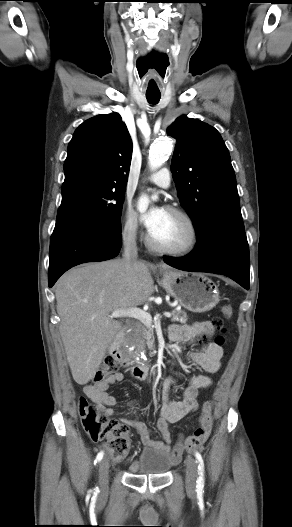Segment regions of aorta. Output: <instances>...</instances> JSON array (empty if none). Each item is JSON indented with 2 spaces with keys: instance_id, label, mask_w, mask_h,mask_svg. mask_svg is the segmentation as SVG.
Listing matches in <instances>:
<instances>
[{
  "instance_id": "1",
  "label": "aorta",
  "mask_w": 292,
  "mask_h": 527,
  "mask_svg": "<svg viewBox=\"0 0 292 527\" xmlns=\"http://www.w3.org/2000/svg\"><path fill=\"white\" fill-rule=\"evenodd\" d=\"M172 150V144L170 139L163 138L156 141L149 150V167L152 170L160 168L163 163L169 158ZM149 204V199L146 196H142L138 202V210L144 212Z\"/></svg>"
}]
</instances>
